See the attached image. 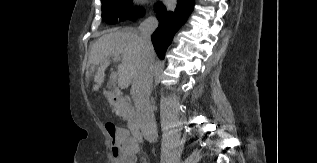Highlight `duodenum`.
Here are the masks:
<instances>
[{"label": "duodenum", "mask_w": 317, "mask_h": 163, "mask_svg": "<svg viewBox=\"0 0 317 163\" xmlns=\"http://www.w3.org/2000/svg\"><path fill=\"white\" fill-rule=\"evenodd\" d=\"M106 96H107V99L109 100V102L113 106L119 108L121 111L128 110V104H127L126 98L120 92L107 91ZM129 125H130V131H131L132 136H133V141L137 146H139V142L143 137L139 121L136 118L131 117L129 119Z\"/></svg>", "instance_id": "duodenum-1"}]
</instances>
